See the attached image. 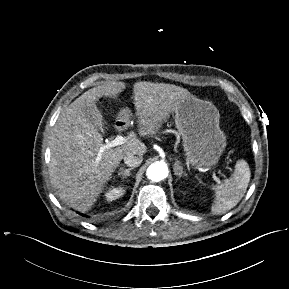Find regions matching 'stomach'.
<instances>
[{"mask_svg": "<svg viewBox=\"0 0 289 289\" xmlns=\"http://www.w3.org/2000/svg\"><path fill=\"white\" fill-rule=\"evenodd\" d=\"M219 119V111L209 101L192 95L181 101L175 110V124L182 137L187 164L194 168L217 165L226 146Z\"/></svg>", "mask_w": 289, "mask_h": 289, "instance_id": "obj_1", "label": "stomach"}]
</instances>
